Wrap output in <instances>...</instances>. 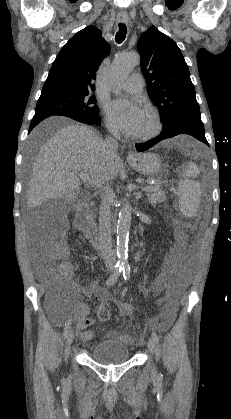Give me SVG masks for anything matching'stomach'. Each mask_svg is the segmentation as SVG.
<instances>
[{"label": "stomach", "mask_w": 231, "mask_h": 419, "mask_svg": "<svg viewBox=\"0 0 231 419\" xmlns=\"http://www.w3.org/2000/svg\"><path fill=\"white\" fill-rule=\"evenodd\" d=\"M129 165L137 172L152 178L161 177L162 163L159 155L152 152L135 154L133 158L128 159Z\"/></svg>", "instance_id": "1"}]
</instances>
